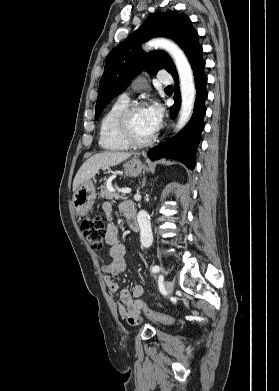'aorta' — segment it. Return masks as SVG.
I'll use <instances>...</instances> for the list:
<instances>
[{
  "instance_id": "1",
  "label": "aorta",
  "mask_w": 279,
  "mask_h": 391,
  "mask_svg": "<svg viewBox=\"0 0 279 391\" xmlns=\"http://www.w3.org/2000/svg\"><path fill=\"white\" fill-rule=\"evenodd\" d=\"M146 47L161 48L167 51L176 65L182 100L176 129L180 130L190 120L196 98V88L191 66L184 52L172 41L167 39H153L147 43ZM137 221L140 227L141 244L143 247H150L153 242V235L148 213L145 210L139 211Z\"/></svg>"
}]
</instances>
